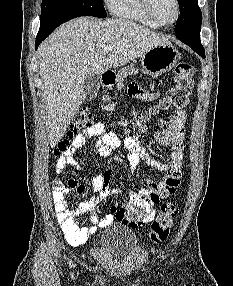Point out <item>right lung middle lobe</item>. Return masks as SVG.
<instances>
[{"label":"right lung middle lobe","instance_id":"right-lung-middle-lobe-1","mask_svg":"<svg viewBox=\"0 0 233 286\" xmlns=\"http://www.w3.org/2000/svg\"><path fill=\"white\" fill-rule=\"evenodd\" d=\"M72 10L85 16H107L102 0H42L41 20L61 10Z\"/></svg>","mask_w":233,"mask_h":286}]
</instances>
